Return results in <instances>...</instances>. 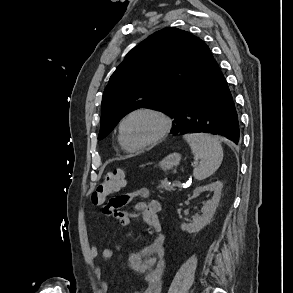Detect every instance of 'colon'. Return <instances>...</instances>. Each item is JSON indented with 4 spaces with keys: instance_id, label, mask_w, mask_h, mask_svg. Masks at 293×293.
Wrapping results in <instances>:
<instances>
[{
    "instance_id": "obj_1",
    "label": "colon",
    "mask_w": 293,
    "mask_h": 293,
    "mask_svg": "<svg viewBox=\"0 0 293 293\" xmlns=\"http://www.w3.org/2000/svg\"><path fill=\"white\" fill-rule=\"evenodd\" d=\"M126 185V175L121 169L108 172L97 185L92 195L94 203H103L113 193Z\"/></svg>"
}]
</instances>
